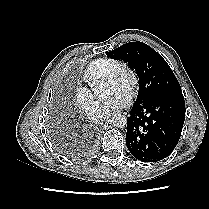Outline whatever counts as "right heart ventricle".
I'll return each instance as SVG.
<instances>
[{
  "mask_svg": "<svg viewBox=\"0 0 209 209\" xmlns=\"http://www.w3.org/2000/svg\"><path fill=\"white\" fill-rule=\"evenodd\" d=\"M120 62L114 58H99L91 61L82 74L83 80L90 86H94L104 80L107 75Z\"/></svg>",
  "mask_w": 209,
  "mask_h": 209,
  "instance_id": "e07e8e85",
  "label": "right heart ventricle"
}]
</instances>
